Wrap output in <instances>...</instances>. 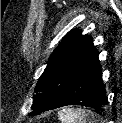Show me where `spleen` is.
Listing matches in <instances>:
<instances>
[{"label":"spleen","mask_w":122,"mask_h":123,"mask_svg":"<svg viewBox=\"0 0 122 123\" xmlns=\"http://www.w3.org/2000/svg\"><path fill=\"white\" fill-rule=\"evenodd\" d=\"M96 116L94 112L81 108H63L58 112V118L61 123H87L88 120H95Z\"/></svg>","instance_id":"3e777b00"}]
</instances>
